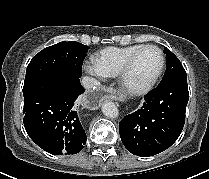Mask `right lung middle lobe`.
Listing matches in <instances>:
<instances>
[{
  "label": "right lung middle lobe",
  "mask_w": 209,
  "mask_h": 179,
  "mask_svg": "<svg viewBox=\"0 0 209 179\" xmlns=\"http://www.w3.org/2000/svg\"><path fill=\"white\" fill-rule=\"evenodd\" d=\"M88 46L79 42H60L40 51L26 70L24 99L42 82L58 74L82 75V64Z\"/></svg>",
  "instance_id": "obj_1"
}]
</instances>
